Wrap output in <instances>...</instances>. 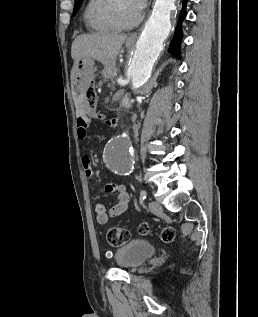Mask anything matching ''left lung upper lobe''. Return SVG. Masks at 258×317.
Here are the masks:
<instances>
[{"label":"left lung upper lobe","mask_w":258,"mask_h":317,"mask_svg":"<svg viewBox=\"0 0 258 317\" xmlns=\"http://www.w3.org/2000/svg\"><path fill=\"white\" fill-rule=\"evenodd\" d=\"M74 1H75V5H74L73 15H75L77 13L83 0H74Z\"/></svg>","instance_id":"5c2ea615"}]
</instances>
